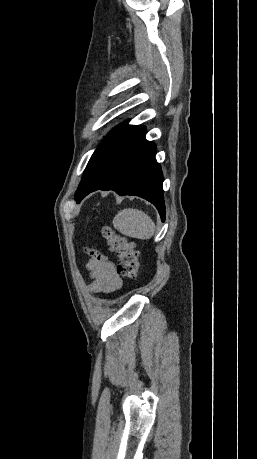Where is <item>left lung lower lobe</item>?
Instances as JSON below:
<instances>
[{"mask_svg":"<svg viewBox=\"0 0 257 459\" xmlns=\"http://www.w3.org/2000/svg\"><path fill=\"white\" fill-rule=\"evenodd\" d=\"M155 154L156 146L145 139L142 126L122 123L101 143L100 167L85 196L99 189L140 196L156 206L164 221L163 176Z\"/></svg>","mask_w":257,"mask_h":459,"instance_id":"1","label":"left lung lower lobe"}]
</instances>
